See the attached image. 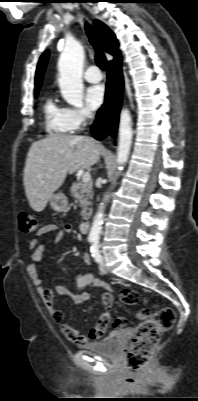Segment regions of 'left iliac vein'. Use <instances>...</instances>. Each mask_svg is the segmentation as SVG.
<instances>
[{
    "mask_svg": "<svg viewBox=\"0 0 198 401\" xmlns=\"http://www.w3.org/2000/svg\"><path fill=\"white\" fill-rule=\"evenodd\" d=\"M99 269L102 273L107 274L108 273V269L105 263L104 258L101 259L100 263H99Z\"/></svg>",
    "mask_w": 198,
    "mask_h": 401,
    "instance_id": "obj_1",
    "label": "left iliac vein"
}]
</instances>
